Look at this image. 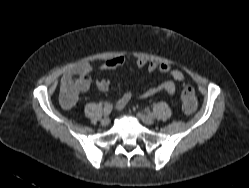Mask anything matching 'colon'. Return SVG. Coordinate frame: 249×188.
Here are the masks:
<instances>
[{
  "label": "colon",
  "instance_id": "obj_1",
  "mask_svg": "<svg viewBox=\"0 0 249 188\" xmlns=\"http://www.w3.org/2000/svg\"><path fill=\"white\" fill-rule=\"evenodd\" d=\"M66 99H69L68 95H66ZM181 104L183 111L188 114L193 113L197 108V100L194 94V90L188 84H184L183 86L181 92Z\"/></svg>",
  "mask_w": 249,
  "mask_h": 188
}]
</instances>
